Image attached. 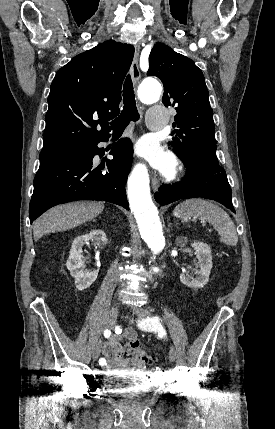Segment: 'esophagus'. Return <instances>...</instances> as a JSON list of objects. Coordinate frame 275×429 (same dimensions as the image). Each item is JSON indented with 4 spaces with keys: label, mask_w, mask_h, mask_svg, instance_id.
Returning <instances> with one entry per match:
<instances>
[{
    "label": "esophagus",
    "mask_w": 275,
    "mask_h": 429,
    "mask_svg": "<svg viewBox=\"0 0 275 429\" xmlns=\"http://www.w3.org/2000/svg\"><path fill=\"white\" fill-rule=\"evenodd\" d=\"M139 54H140V46L135 45V53H134V58L131 65V76L134 83H137L141 76V73L139 70ZM151 184H152L153 190H158L160 181L156 173H153L152 175Z\"/></svg>",
    "instance_id": "1"
}]
</instances>
